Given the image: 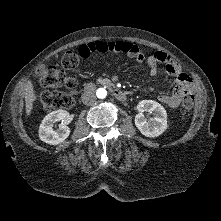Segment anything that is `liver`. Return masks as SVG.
Listing matches in <instances>:
<instances>
[{
	"label": "liver",
	"instance_id": "6515ba94",
	"mask_svg": "<svg viewBox=\"0 0 221 221\" xmlns=\"http://www.w3.org/2000/svg\"><path fill=\"white\" fill-rule=\"evenodd\" d=\"M36 100V94L32 82L29 80L25 85V107L26 114L30 115L33 109V102Z\"/></svg>",
	"mask_w": 221,
	"mask_h": 221
}]
</instances>
